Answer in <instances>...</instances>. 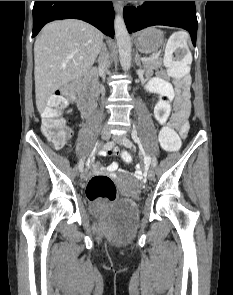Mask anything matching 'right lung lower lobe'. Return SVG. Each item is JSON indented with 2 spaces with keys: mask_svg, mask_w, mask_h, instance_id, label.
<instances>
[{
  "mask_svg": "<svg viewBox=\"0 0 233 295\" xmlns=\"http://www.w3.org/2000/svg\"><path fill=\"white\" fill-rule=\"evenodd\" d=\"M70 18L84 20L106 35L114 37L112 1H35L32 37L36 36L46 23Z\"/></svg>",
  "mask_w": 233,
  "mask_h": 295,
  "instance_id": "1",
  "label": "right lung lower lobe"
}]
</instances>
